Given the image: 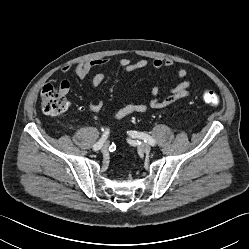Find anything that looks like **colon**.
Here are the masks:
<instances>
[{
  "mask_svg": "<svg viewBox=\"0 0 249 249\" xmlns=\"http://www.w3.org/2000/svg\"><path fill=\"white\" fill-rule=\"evenodd\" d=\"M40 96L42 110L47 115H60L64 113L69 107V103L65 95L51 84H46L43 86ZM202 99L206 104L212 107H216L220 103L219 96L210 89H206L202 92Z\"/></svg>",
  "mask_w": 249,
  "mask_h": 249,
  "instance_id": "1",
  "label": "colon"
}]
</instances>
